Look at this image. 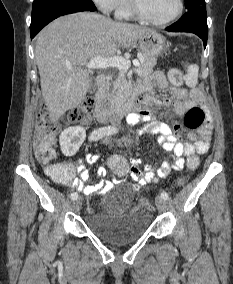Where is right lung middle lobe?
Returning a JSON list of instances; mask_svg holds the SVG:
<instances>
[{"mask_svg": "<svg viewBox=\"0 0 233 284\" xmlns=\"http://www.w3.org/2000/svg\"><path fill=\"white\" fill-rule=\"evenodd\" d=\"M58 6L95 7L92 0H34L32 7V16Z\"/></svg>", "mask_w": 233, "mask_h": 284, "instance_id": "right-lung-middle-lobe-1", "label": "right lung middle lobe"}]
</instances>
